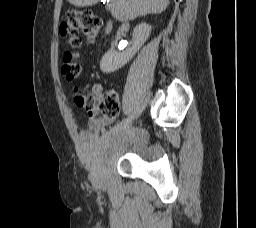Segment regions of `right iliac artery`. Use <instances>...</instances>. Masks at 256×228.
<instances>
[{"instance_id":"82829eb1","label":"right iliac artery","mask_w":256,"mask_h":228,"mask_svg":"<svg viewBox=\"0 0 256 228\" xmlns=\"http://www.w3.org/2000/svg\"><path fill=\"white\" fill-rule=\"evenodd\" d=\"M131 121V117H128L124 120H122L119 124H117V126L115 128L119 129V128H125L129 122Z\"/></svg>"}]
</instances>
